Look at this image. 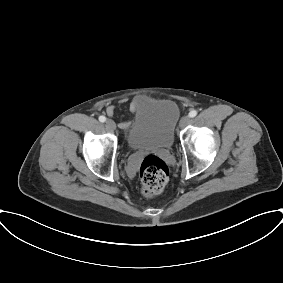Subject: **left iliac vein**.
<instances>
[{
	"mask_svg": "<svg viewBox=\"0 0 283 283\" xmlns=\"http://www.w3.org/2000/svg\"><path fill=\"white\" fill-rule=\"evenodd\" d=\"M189 122H190V117L184 116L180 121V127L181 128L185 127Z\"/></svg>",
	"mask_w": 283,
	"mask_h": 283,
	"instance_id": "obj_1",
	"label": "left iliac vein"
}]
</instances>
